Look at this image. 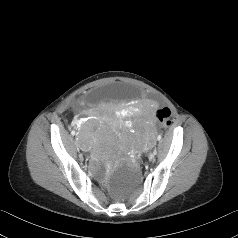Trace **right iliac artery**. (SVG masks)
I'll return each instance as SVG.
<instances>
[{
  "label": "right iliac artery",
  "instance_id": "82829eb1",
  "mask_svg": "<svg viewBox=\"0 0 238 238\" xmlns=\"http://www.w3.org/2000/svg\"><path fill=\"white\" fill-rule=\"evenodd\" d=\"M71 134H72V135H75V131H74V130H72V131H71Z\"/></svg>",
  "mask_w": 238,
  "mask_h": 238
}]
</instances>
